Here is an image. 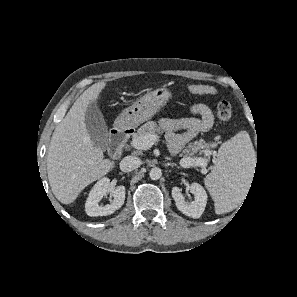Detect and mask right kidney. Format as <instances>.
I'll list each match as a JSON object with an SVG mask.
<instances>
[{
    "label": "right kidney",
    "mask_w": 297,
    "mask_h": 297,
    "mask_svg": "<svg viewBox=\"0 0 297 297\" xmlns=\"http://www.w3.org/2000/svg\"><path fill=\"white\" fill-rule=\"evenodd\" d=\"M110 192L113 201L105 206H100L99 201ZM125 200V187L117 186L110 188V180L106 177L101 178L92 188L85 203V211L88 216H107L121 208Z\"/></svg>",
    "instance_id": "ca27d5eb"
}]
</instances>
